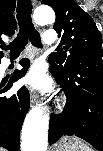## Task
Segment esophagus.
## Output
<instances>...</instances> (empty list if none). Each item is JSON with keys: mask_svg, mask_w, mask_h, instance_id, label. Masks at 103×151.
Instances as JSON below:
<instances>
[{"mask_svg": "<svg viewBox=\"0 0 103 151\" xmlns=\"http://www.w3.org/2000/svg\"><path fill=\"white\" fill-rule=\"evenodd\" d=\"M31 3H32L33 5H35V4H36V0H31ZM30 102H31V105H32V106L38 104V95H37L36 92H33V91L31 92Z\"/></svg>", "mask_w": 103, "mask_h": 151, "instance_id": "obj_1", "label": "esophagus"}]
</instances>
